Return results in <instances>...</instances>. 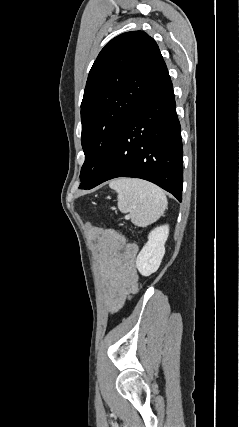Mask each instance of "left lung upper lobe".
Listing matches in <instances>:
<instances>
[{"label": "left lung upper lobe", "mask_w": 239, "mask_h": 427, "mask_svg": "<svg viewBox=\"0 0 239 427\" xmlns=\"http://www.w3.org/2000/svg\"><path fill=\"white\" fill-rule=\"evenodd\" d=\"M168 76L158 45L143 31L120 34L101 50L81 103L80 189L93 182L126 121Z\"/></svg>", "instance_id": "left-lung-upper-lobe-1"}]
</instances>
